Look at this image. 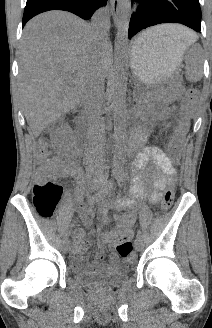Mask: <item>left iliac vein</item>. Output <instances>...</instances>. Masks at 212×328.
<instances>
[{
    "mask_svg": "<svg viewBox=\"0 0 212 328\" xmlns=\"http://www.w3.org/2000/svg\"><path fill=\"white\" fill-rule=\"evenodd\" d=\"M111 189H112L111 183L104 184L100 188L101 192L107 193V194L111 192ZM142 246H143L142 240L137 238L134 242L135 250L140 251L142 249Z\"/></svg>",
    "mask_w": 212,
    "mask_h": 328,
    "instance_id": "left-iliac-vein-1",
    "label": "left iliac vein"
}]
</instances>
